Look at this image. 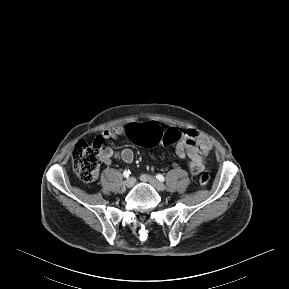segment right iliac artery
<instances>
[{"label":"right iliac artery","mask_w":289,"mask_h":289,"mask_svg":"<svg viewBox=\"0 0 289 289\" xmlns=\"http://www.w3.org/2000/svg\"><path fill=\"white\" fill-rule=\"evenodd\" d=\"M130 170H125L124 172H123V176L125 177V178H128L129 177V175H130Z\"/></svg>","instance_id":"right-iliac-artery-1"}]
</instances>
